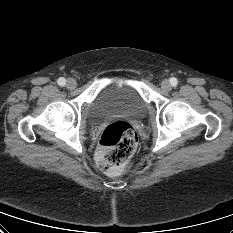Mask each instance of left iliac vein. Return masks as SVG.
<instances>
[{
	"label": "left iliac vein",
	"mask_w": 233,
	"mask_h": 233,
	"mask_svg": "<svg viewBox=\"0 0 233 233\" xmlns=\"http://www.w3.org/2000/svg\"><path fill=\"white\" fill-rule=\"evenodd\" d=\"M161 87L165 91H170L171 90V84H170L169 80H163L161 82Z\"/></svg>",
	"instance_id": "4c4485c4"
}]
</instances>
